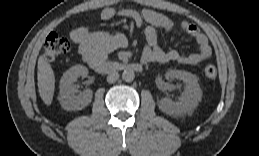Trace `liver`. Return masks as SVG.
Masks as SVG:
<instances>
[{
    "label": "liver",
    "instance_id": "6515ba94",
    "mask_svg": "<svg viewBox=\"0 0 259 156\" xmlns=\"http://www.w3.org/2000/svg\"><path fill=\"white\" fill-rule=\"evenodd\" d=\"M37 80L41 99L47 106L51 105L55 90V76L51 65L43 56L38 59Z\"/></svg>",
    "mask_w": 259,
    "mask_h": 156
}]
</instances>
